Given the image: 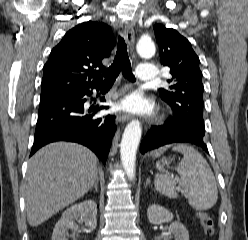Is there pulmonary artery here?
<instances>
[{
    "label": "pulmonary artery",
    "instance_id": "obj_1",
    "mask_svg": "<svg viewBox=\"0 0 248 240\" xmlns=\"http://www.w3.org/2000/svg\"><path fill=\"white\" fill-rule=\"evenodd\" d=\"M157 68L153 64L142 63L138 65L136 77L140 81H152L157 78Z\"/></svg>",
    "mask_w": 248,
    "mask_h": 240
}]
</instances>
